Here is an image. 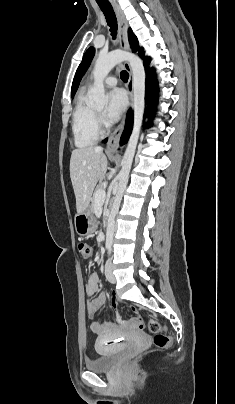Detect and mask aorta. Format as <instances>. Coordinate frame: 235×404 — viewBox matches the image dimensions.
Returning a JSON list of instances; mask_svg holds the SVG:
<instances>
[{
    "instance_id": "aorta-1",
    "label": "aorta",
    "mask_w": 235,
    "mask_h": 404,
    "mask_svg": "<svg viewBox=\"0 0 235 404\" xmlns=\"http://www.w3.org/2000/svg\"><path fill=\"white\" fill-rule=\"evenodd\" d=\"M123 61H128L133 73L134 124L122 159L118 191L108 219L106 234L107 245H112L115 230V216L119 210L121 199L128 183L129 172L143 121L145 105V71L141 59L132 53L121 50H114L107 54L100 53L93 70L94 85L89 91L90 105L95 108H103L108 102V98L105 95L103 83L104 78L115 65Z\"/></svg>"
}]
</instances>
